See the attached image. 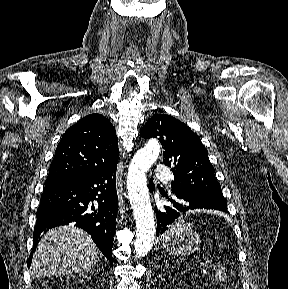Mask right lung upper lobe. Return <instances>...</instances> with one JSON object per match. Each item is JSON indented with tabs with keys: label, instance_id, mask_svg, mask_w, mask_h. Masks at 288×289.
Listing matches in <instances>:
<instances>
[{
	"label": "right lung upper lobe",
	"instance_id": "1",
	"mask_svg": "<svg viewBox=\"0 0 288 289\" xmlns=\"http://www.w3.org/2000/svg\"><path fill=\"white\" fill-rule=\"evenodd\" d=\"M115 128L100 114H91L64 133L52 160L46 184L90 174L118 162Z\"/></svg>",
	"mask_w": 288,
	"mask_h": 289
}]
</instances>
